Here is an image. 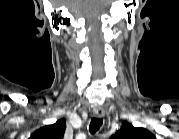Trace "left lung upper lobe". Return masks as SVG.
Returning <instances> with one entry per match:
<instances>
[{"mask_svg": "<svg viewBox=\"0 0 179 139\" xmlns=\"http://www.w3.org/2000/svg\"><path fill=\"white\" fill-rule=\"evenodd\" d=\"M152 134L144 128L133 127L130 123H124L114 135V139H147Z\"/></svg>", "mask_w": 179, "mask_h": 139, "instance_id": "obj_1", "label": "left lung upper lobe"}]
</instances>
